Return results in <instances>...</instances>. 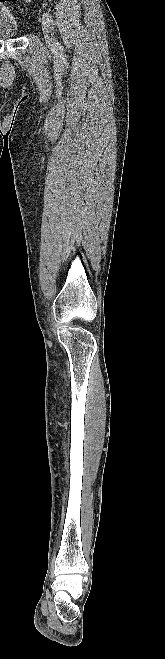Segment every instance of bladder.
I'll list each match as a JSON object with an SVG mask.
<instances>
[{
	"label": "bladder",
	"mask_w": 165,
	"mask_h": 659,
	"mask_svg": "<svg viewBox=\"0 0 165 659\" xmlns=\"http://www.w3.org/2000/svg\"><path fill=\"white\" fill-rule=\"evenodd\" d=\"M20 27L11 10L0 5V40L14 39L19 36Z\"/></svg>",
	"instance_id": "1"
}]
</instances>
